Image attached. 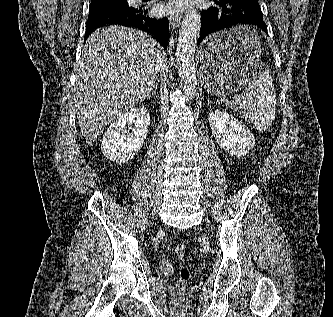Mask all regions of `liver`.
<instances>
[{
	"mask_svg": "<svg viewBox=\"0 0 333 317\" xmlns=\"http://www.w3.org/2000/svg\"><path fill=\"white\" fill-rule=\"evenodd\" d=\"M165 56L156 40L135 29L110 26L89 36L74 94L78 124L87 144L151 93Z\"/></svg>",
	"mask_w": 333,
	"mask_h": 317,
	"instance_id": "obj_1",
	"label": "liver"
}]
</instances>
